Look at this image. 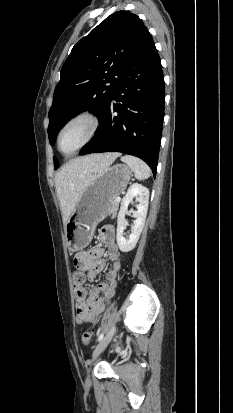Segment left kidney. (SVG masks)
<instances>
[{
    "label": "left kidney",
    "instance_id": "left-kidney-1",
    "mask_svg": "<svg viewBox=\"0 0 233 413\" xmlns=\"http://www.w3.org/2000/svg\"><path fill=\"white\" fill-rule=\"evenodd\" d=\"M133 198H136L137 211H132L135 218L134 225L132 227V233L129 238L123 236L125 229V214L127 213L128 206L132 202ZM149 204V190L141 184L135 183L130 186L127 194L121 202V208L117 217V244L122 252H129L133 250L141 235L147 210Z\"/></svg>",
    "mask_w": 233,
    "mask_h": 413
}]
</instances>
